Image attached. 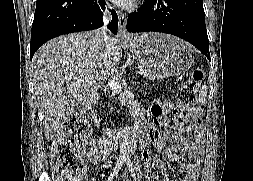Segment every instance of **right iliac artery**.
I'll list each match as a JSON object with an SVG mask.
<instances>
[{
	"instance_id": "obj_1",
	"label": "right iliac artery",
	"mask_w": 253,
	"mask_h": 181,
	"mask_svg": "<svg viewBox=\"0 0 253 181\" xmlns=\"http://www.w3.org/2000/svg\"><path fill=\"white\" fill-rule=\"evenodd\" d=\"M122 161H118L117 162V167L113 170V172L111 173V175L108 177L107 181H112L113 178L117 175L118 170L120 169V166H122Z\"/></svg>"
}]
</instances>
